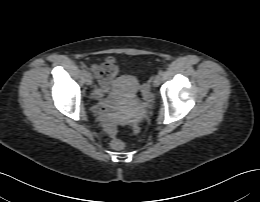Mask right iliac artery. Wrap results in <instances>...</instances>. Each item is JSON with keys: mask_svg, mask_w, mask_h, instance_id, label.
<instances>
[{"mask_svg": "<svg viewBox=\"0 0 260 202\" xmlns=\"http://www.w3.org/2000/svg\"><path fill=\"white\" fill-rule=\"evenodd\" d=\"M82 72H83L84 75L87 74L86 69H83Z\"/></svg>", "mask_w": 260, "mask_h": 202, "instance_id": "right-iliac-artery-1", "label": "right iliac artery"}]
</instances>
